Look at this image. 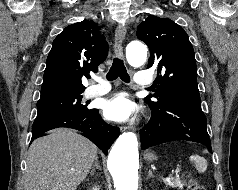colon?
Segmentation results:
<instances>
[{"label":"colon","instance_id":"5ec220e1","mask_svg":"<svg viewBox=\"0 0 238 190\" xmlns=\"http://www.w3.org/2000/svg\"><path fill=\"white\" fill-rule=\"evenodd\" d=\"M182 181L187 190H205L204 186L197 182L189 173L182 175Z\"/></svg>","mask_w":238,"mask_h":190}]
</instances>
